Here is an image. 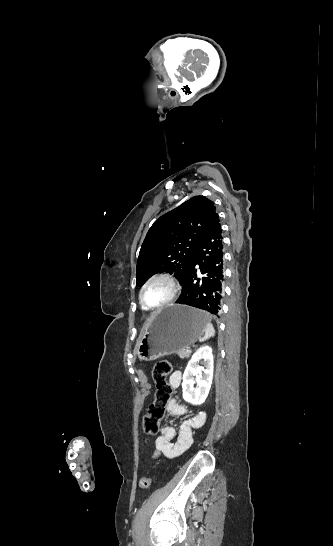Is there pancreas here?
Segmentation results:
<instances>
[{
  "mask_svg": "<svg viewBox=\"0 0 333 546\" xmlns=\"http://www.w3.org/2000/svg\"><path fill=\"white\" fill-rule=\"evenodd\" d=\"M177 354L180 358L184 359V358H188L191 354V352H187V349H180L177 351Z\"/></svg>",
  "mask_w": 333,
  "mask_h": 546,
  "instance_id": "pancreas-1",
  "label": "pancreas"
}]
</instances>
